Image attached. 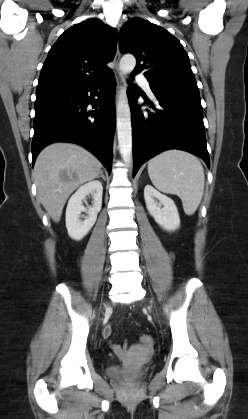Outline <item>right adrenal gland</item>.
I'll return each mask as SVG.
<instances>
[{
	"label": "right adrenal gland",
	"mask_w": 248,
	"mask_h": 419,
	"mask_svg": "<svg viewBox=\"0 0 248 419\" xmlns=\"http://www.w3.org/2000/svg\"><path fill=\"white\" fill-rule=\"evenodd\" d=\"M100 177H102V178H103V180H105V177H104L103 171H101V172H100V175H99L97 178H100Z\"/></svg>",
	"instance_id": "2a0ac1e0"
}]
</instances>
